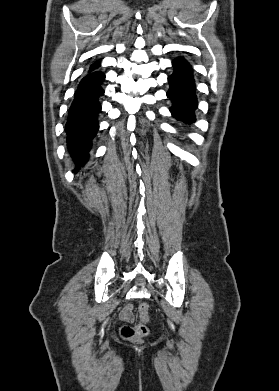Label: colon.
<instances>
[{
    "instance_id": "1",
    "label": "colon",
    "mask_w": 279,
    "mask_h": 391,
    "mask_svg": "<svg viewBox=\"0 0 279 391\" xmlns=\"http://www.w3.org/2000/svg\"><path fill=\"white\" fill-rule=\"evenodd\" d=\"M138 314L140 321L135 326L124 325L120 329V336L124 340L141 342L149 333V306L146 303L139 305Z\"/></svg>"
}]
</instances>
